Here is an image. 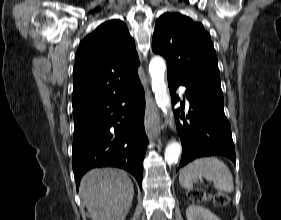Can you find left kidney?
<instances>
[{
    "mask_svg": "<svg viewBox=\"0 0 281 220\" xmlns=\"http://www.w3.org/2000/svg\"><path fill=\"white\" fill-rule=\"evenodd\" d=\"M186 217L187 220H221L210 210L194 204L187 208Z\"/></svg>",
    "mask_w": 281,
    "mask_h": 220,
    "instance_id": "obj_1",
    "label": "left kidney"
}]
</instances>
